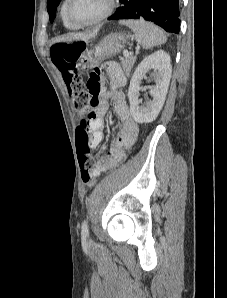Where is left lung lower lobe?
I'll return each instance as SVG.
<instances>
[{
  "instance_id": "1",
  "label": "left lung lower lobe",
  "mask_w": 227,
  "mask_h": 298,
  "mask_svg": "<svg viewBox=\"0 0 227 298\" xmlns=\"http://www.w3.org/2000/svg\"><path fill=\"white\" fill-rule=\"evenodd\" d=\"M122 6L108 20L145 19L167 32L179 33V0H120Z\"/></svg>"
}]
</instances>
